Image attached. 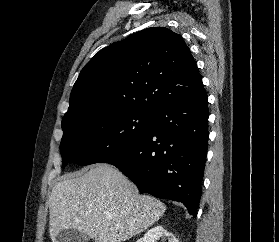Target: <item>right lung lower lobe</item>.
Returning <instances> with one entry per match:
<instances>
[{"label": "right lung lower lobe", "mask_w": 279, "mask_h": 242, "mask_svg": "<svg viewBox=\"0 0 279 242\" xmlns=\"http://www.w3.org/2000/svg\"><path fill=\"white\" fill-rule=\"evenodd\" d=\"M208 116L205 90L160 108L144 138L100 163L116 166L141 193L182 202L196 217L208 148Z\"/></svg>", "instance_id": "right-lung-lower-lobe-1"}]
</instances>
